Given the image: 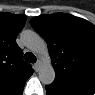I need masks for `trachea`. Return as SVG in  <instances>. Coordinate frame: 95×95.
I'll return each instance as SVG.
<instances>
[{
    "label": "trachea",
    "instance_id": "3493384b",
    "mask_svg": "<svg viewBox=\"0 0 95 95\" xmlns=\"http://www.w3.org/2000/svg\"><path fill=\"white\" fill-rule=\"evenodd\" d=\"M24 59H25L27 62H29V63H35L36 60H37L36 57H35V55H34L33 53H31V52L25 53Z\"/></svg>",
    "mask_w": 95,
    "mask_h": 95
}]
</instances>
